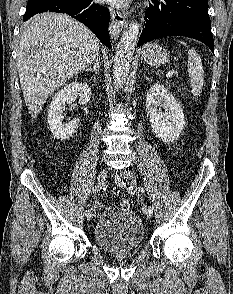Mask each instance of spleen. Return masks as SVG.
Masks as SVG:
<instances>
[{
	"instance_id": "obj_1",
	"label": "spleen",
	"mask_w": 233,
	"mask_h": 294,
	"mask_svg": "<svg viewBox=\"0 0 233 294\" xmlns=\"http://www.w3.org/2000/svg\"><path fill=\"white\" fill-rule=\"evenodd\" d=\"M180 44L187 47L183 41H178ZM188 73L190 77L191 93L194 97L200 95L204 83V70L201 59L195 49L188 50Z\"/></svg>"
}]
</instances>
